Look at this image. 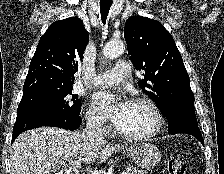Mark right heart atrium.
I'll return each mask as SVG.
<instances>
[{"label": "right heart atrium", "instance_id": "d8ad5b80", "mask_svg": "<svg viewBox=\"0 0 224 174\" xmlns=\"http://www.w3.org/2000/svg\"><path fill=\"white\" fill-rule=\"evenodd\" d=\"M86 120L89 127L96 131L105 132L108 129L105 117L94 105H90L87 109Z\"/></svg>", "mask_w": 224, "mask_h": 174}]
</instances>
